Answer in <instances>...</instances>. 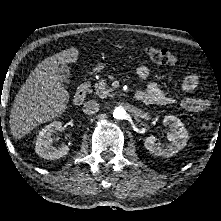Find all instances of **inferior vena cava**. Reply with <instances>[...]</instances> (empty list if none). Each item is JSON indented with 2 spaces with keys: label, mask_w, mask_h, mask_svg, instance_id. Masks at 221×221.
I'll use <instances>...</instances> for the list:
<instances>
[{
  "label": "inferior vena cava",
  "mask_w": 221,
  "mask_h": 221,
  "mask_svg": "<svg viewBox=\"0 0 221 221\" xmlns=\"http://www.w3.org/2000/svg\"><path fill=\"white\" fill-rule=\"evenodd\" d=\"M100 105L94 101V100H89L84 103L83 105V112L87 115H92L95 114L99 111Z\"/></svg>",
  "instance_id": "inferior-vena-cava-1"
}]
</instances>
